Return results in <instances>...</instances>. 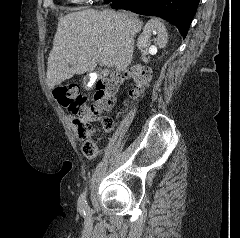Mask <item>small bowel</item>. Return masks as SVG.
<instances>
[{
  "mask_svg": "<svg viewBox=\"0 0 240 238\" xmlns=\"http://www.w3.org/2000/svg\"><path fill=\"white\" fill-rule=\"evenodd\" d=\"M95 119H96V116H94V115H89L86 117V121H93Z\"/></svg>",
  "mask_w": 240,
  "mask_h": 238,
  "instance_id": "1",
  "label": "small bowel"
}]
</instances>
